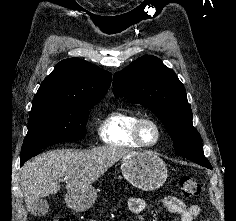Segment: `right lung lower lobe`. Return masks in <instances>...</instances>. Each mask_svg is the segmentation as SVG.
<instances>
[{
    "instance_id": "1",
    "label": "right lung lower lobe",
    "mask_w": 236,
    "mask_h": 221,
    "mask_svg": "<svg viewBox=\"0 0 236 221\" xmlns=\"http://www.w3.org/2000/svg\"><path fill=\"white\" fill-rule=\"evenodd\" d=\"M41 152V150H36V151H32L30 153H27L25 155L21 156V161H20V165H23V163L27 160H29L30 158L38 155Z\"/></svg>"
}]
</instances>
